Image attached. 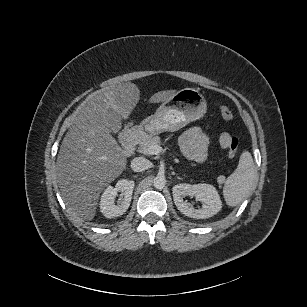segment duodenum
<instances>
[{"mask_svg": "<svg viewBox=\"0 0 307 307\" xmlns=\"http://www.w3.org/2000/svg\"><path fill=\"white\" fill-rule=\"evenodd\" d=\"M144 132L140 128H134L128 131L123 138V153L125 156H131L139 141L142 139Z\"/></svg>", "mask_w": 307, "mask_h": 307, "instance_id": "duodenum-1", "label": "duodenum"}]
</instances>
